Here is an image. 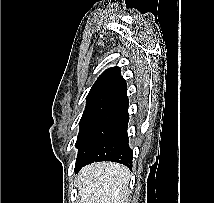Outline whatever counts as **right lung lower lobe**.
I'll list each match as a JSON object with an SVG mask.
<instances>
[{
    "mask_svg": "<svg viewBox=\"0 0 214 203\" xmlns=\"http://www.w3.org/2000/svg\"><path fill=\"white\" fill-rule=\"evenodd\" d=\"M127 125L128 98L125 95L106 109L78 146L75 172L98 161L118 162L132 169Z\"/></svg>",
    "mask_w": 214,
    "mask_h": 203,
    "instance_id": "1",
    "label": "right lung lower lobe"
}]
</instances>
